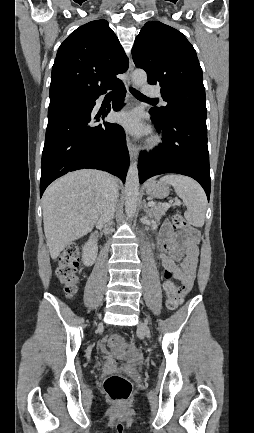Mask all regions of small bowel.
I'll use <instances>...</instances> for the list:
<instances>
[{"mask_svg": "<svg viewBox=\"0 0 254 433\" xmlns=\"http://www.w3.org/2000/svg\"><path fill=\"white\" fill-rule=\"evenodd\" d=\"M197 236H190L187 242L183 237L174 233L171 225L165 223L158 236L159 257L163 267L164 289L167 291L170 285H175L174 280L180 282L181 299L191 290L194 284L195 272L198 261ZM182 259L180 265L176 261ZM130 355H135L137 350L134 346L129 348ZM112 365L113 360L108 359Z\"/></svg>", "mask_w": 254, "mask_h": 433, "instance_id": "1", "label": "small bowel"}]
</instances>
